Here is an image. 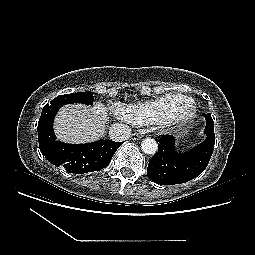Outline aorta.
Listing matches in <instances>:
<instances>
[{"label": "aorta", "instance_id": "obj_1", "mask_svg": "<svg viewBox=\"0 0 255 255\" xmlns=\"http://www.w3.org/2000/svg\"><path fill=\"white\" fill-rule=\"evenodd\" d=\"M141 149L145 154L154 155L158 150V144L152 138H145L141 142Z\"/></svg>", "mask_w": 255, "mask_h": 255}]
</instances>
